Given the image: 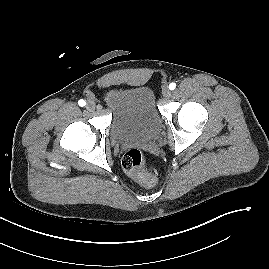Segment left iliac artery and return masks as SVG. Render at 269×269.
<instances>
[{
    "label": "left iliac artery",
    "instance_id": "left-iliac-artery-1",
    "mask_svg": "<svg viewBox=\"0 0 269 269\" xmlns=\"http://www.w3.org/2000/svg\"><path fill=\"white\" fill-rule=\"evenodd\" d=\"M176 88V84L174 82L170 83L169 89L174 90Z\"/></svg>",
    "mask_w": 269,
    "mask_h": 269
}]
</instances>
